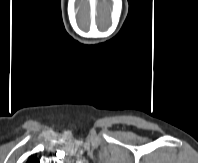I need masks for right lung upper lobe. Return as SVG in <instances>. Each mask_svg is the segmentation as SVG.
Masks as SVG:
<instances>
[{
  "label": "right lung upper lobe",
  "instance_id": "right-lung-upper-lobe-1",
  "mask_svg": "<svg viewBox=\"0 0 198 163\" xmlns=\"http://www.w3.org/2000/svg\"><path fill=\"white\" fill-rule=\"evenodd\" d=\"M26 163H39V160L35 157H30Z\"/></svg>",
  "mask_w": 198,
  "mask_h": 163
}]
</instances>
